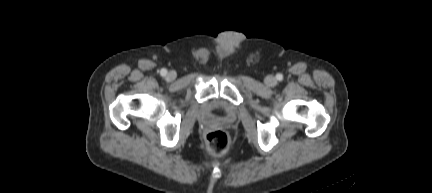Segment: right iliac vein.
I'll list each match as a JSON object with an SVG mask.
<instances>
[{
	"instance_id": "1",
	"label": "right iliac vein",
	"mask_w": 432,
	"mask_h": 193,
	"mask_svg": "<svg viewBox=\"0 0 432 193\" xmlns=\"http://www.w3.org/2000/svg\"><path fill=\"white\" fill-rule=\"evenodd\" d=\"M175 78H176V73L174 71H170L166 75V79L168 81H173V80H175Z\"/></svg>"
}]
</instances>
